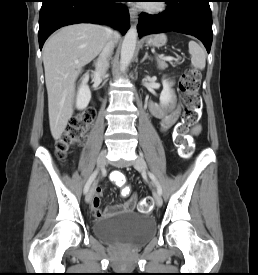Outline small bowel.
Wrapping results in <instances>:
<instances>
[{
    "label": "small bowel",
    "instance_id": "1",
    "mask_svg": "<svg viewBox=\"0 0 258 275\" xmlns=\"http://www.w3.org/2000/svg\"><path fill=\"white\" fill-rule=\"evenodd\" d=\"M181 107L177 103L175 95H172L170 99V107H166L160 103H152L150 105L151 114L160 121V130L162 132L168 131L177 121L180 114ZM200 130V126H196L193 129V133H197ZM104 188L101 185H95L93 188V195L91 198V211L96 218L109 217L118 212L131 211L136 202L137 197L135 194L132 197L121 204L107 207L104 211L100 209L101 197L103 195Z\"/></svg>",
    "mask_w": 258,
    "mask_h": 275
}]
</instances>
